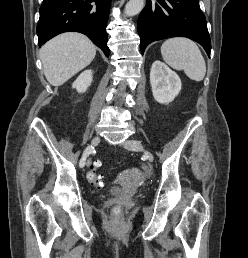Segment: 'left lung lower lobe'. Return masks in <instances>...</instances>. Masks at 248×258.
<instances>
[{
	"label": "left lung lower lobe",
	"mask_w": 248,
	"mask_h": 258,
	"mask_svg": "<svg viewBox=\"0 0 248 258\" xmlns=\"http://www.w3.org/2000/svg\"><path fill=\"white\" fill-rule=\"evenodd\" d=\"M137 30L142 55L151 42L183 36L201 44L210 57L211 40L199 0H147Z\"/></svg>",
	"instance_id": "0a47b994"
}]
</instances>
